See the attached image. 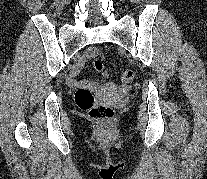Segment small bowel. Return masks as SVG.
Wrapping results in <instances>:
<instances>
[{
    "label": "small bowel",
    "instance_id": "obj_1",
    "mask_svg": "<svg viewBox=\"0 0 207 179\" xmlns=\"http://www.w3.org/2000/svg\"><path fill=\"white\" fill-rule=\"evenodd\" d=\"M99 56L101 60H104L103 54L94 47L88 48L84 51V53L81 55L78 63L76 66L72 69L69 84L72 87H90V88H96L98 86V83L96 81H89L86 79H77V75L81 72V70L87 66L88 62L92 59ZM104 77H107L108 73L106 71L103 72Z\"/></svg>",
    "mask_w": 207,
    "mask_h": 179
}]
</instances>
